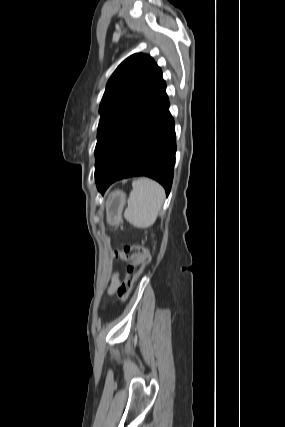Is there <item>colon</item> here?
Instances as JSON below:
<instances>
[{"label":"colon","instance_id":"5ec220e1","mask_svg":"<svg viewBox=\"0 0 285 427\" xmlns=\"http://www.w3.org/2000/svg\"><path fill=\"white\" fill-rule=\"evenodd\" d=\"M114 255L127 262L125 279L117 289L118 298L121 302H125L131 293L134 283L150 262V255L148 250L141 245H124L120 249H116Z\"/></svg>","mask_w":285,"mask_h":427}]
</instances>
